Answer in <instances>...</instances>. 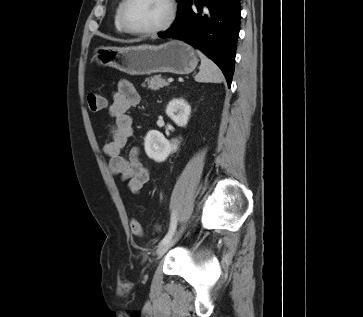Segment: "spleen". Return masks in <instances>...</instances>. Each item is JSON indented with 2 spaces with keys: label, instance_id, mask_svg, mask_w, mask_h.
<instances>
[{
  "label": "spleen",
  "instance_id": "obj_1",
  "mask_svg": "<svg viewBox=\"0 0 363 317\" xmlns=\"http://www.w3.org/2000/svg\"><path fill=\"white\" fill-rule=\"evenodd\" d=\"M198 55L201 59L200 71L195 76V81L197 82H211L220 83L223 81L224 76L219 67L206 55L198 51Z\"/></svg>",
  "mask_w": 363,
  "mask_h": 317
}]
</instances>
